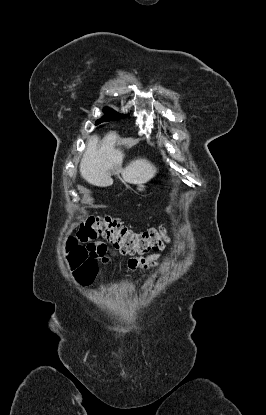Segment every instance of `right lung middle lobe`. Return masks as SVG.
<instances>
[{
  "label": "right lung middle lobe",
  "instance_id": "right-lung-middle-lobe-1",
  "mask_svg": "<svg viewBox=\"0 0 266 415\" xmlns=\"http://www.w3.org/2000/svg\"><path fill=\"white\" fill-rule=\"evenodd\" d=\"M104 113H105V116L101 119H98L96 121L95 125H98L102 122H106V121H110V120H118L119 118L126 117V115H121L119 113H116L110 108H105Z\"/></svg>",
  "mask_w": 266,
  "mask_h": 415
}]
</instances>
